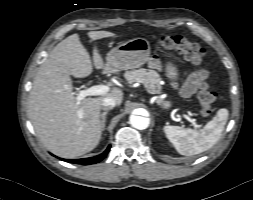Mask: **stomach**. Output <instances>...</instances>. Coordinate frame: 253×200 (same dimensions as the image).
<instances>
[{
	"label": "stomach",
	"instance_id": "stomach-1",
	"mask_svg": "<svg viewBox=\"0 0 253 200\" xmlns=\"http://www.w3.org/2000/svg\"><path fill=\"white\" fill-rule=\"evenodd\" d=\"M150 54V43L144 38H135L113 48L106 57V64L112 71L128 70L144 65ZM165 74L171 80L178 79L177 66L171 62L165 65ZM164 109L171 107V102L162 101Z\"/></svg>",
	"mask_w": 253,
	"mask_h": 200
}]
</instances>
